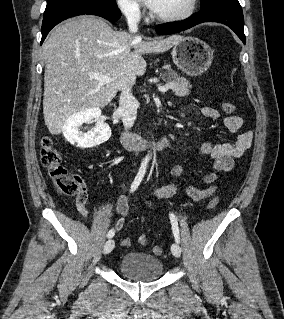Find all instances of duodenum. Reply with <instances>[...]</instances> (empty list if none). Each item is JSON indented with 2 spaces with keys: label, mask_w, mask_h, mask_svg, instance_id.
Segmentation results:
<instances>
[{
  "label": "duodenum",
  "mask_w": 284,
  "mask_h": 319,
  "mask_svg": "<svg viewBox=\"0 0 284 319\" xmlns=\"http://www.w3.org/2000/svg\"><path fill=\"white\" fill-rule=\"evenodd\" d=\"M122 143L128 148L151 149L154 151H161L170 147V139L167 136L155 141L131 131L122 134Z\"/></svg>",
  "instance_id": "duodenum-1"
}]
</instances>
